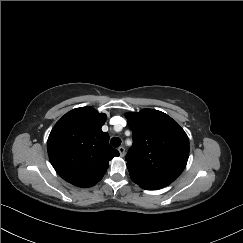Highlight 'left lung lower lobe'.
<instances>
[{"instance_id":"left-lung-lower-lobe-1","label":"left lung lower lobe","mask_w":243,"mask_h":243,"mask_svg":"<svg viewBox=\"0 0 243 243\" xmlns=\"http://www.w3.org/2000/svg\"><path fill=\"white\" fill-rule=\"evenodd\" d=\"M171 182H165V183H162V184H158V185H155V186H151V187H146V188H143V189H147V190H157V189H161L167 185H169Z\"/></svg>"}]
</instances>
